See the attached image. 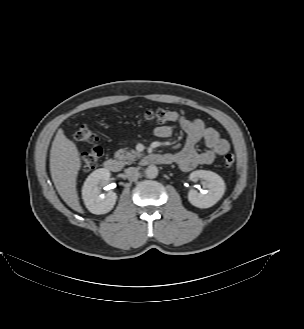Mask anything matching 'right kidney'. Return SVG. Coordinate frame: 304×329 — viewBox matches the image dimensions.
I'll use <instances>...</instances> for the list:
<instances>
[{"instance_id": "1", "label": "right kidney", "mask_w": 304, "mask_h": 329, "mask_svg": "<svg viewBox=\"0 0 304 329\" xmlns=\"http://www.w3.org/2000/svg\"><path fill=\"white\" fill-rule=\"evenodd\" d=\"M110 179V171L100 168L92 172L82 187V198L86 208L93 214H106L114 207L117 195L113 191L101 194L100 185H105Z\"/></svg>"}]
</instances>
